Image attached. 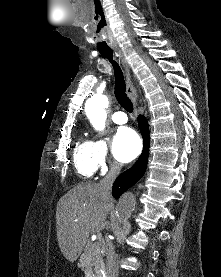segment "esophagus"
Instances as JSON below:
<instances>
[{
	"label": "esophagus",
	"mask_w": 221,
	"mask_h": 277,
	"mask_svg": "<svg viewBox=\"0 0 221 277\" xmlns=\"http://www.w3.org/2000/svg\"><path fill=\"white\" fill-rule=\"evenodd\" d=\"M117 56H119V58L122 61V65L125 69V74H126V83H127V87H126V91L128 96L131 98V100L134 103V114L137 116L138 112H137V108H136V100H137V93H136V88L133 84V81L131 79V73H130V66L128 64V62L126 61V59L124 58L122 52L120 50L116 51Z\"/></svg>",
	"instance_id": "esophagus-1"
}]
</instances>
